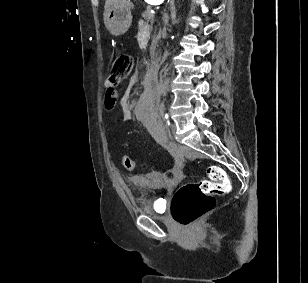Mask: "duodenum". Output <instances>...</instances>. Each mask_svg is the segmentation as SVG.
Masks as SVG:
<instances>
[{
	"mask_svg": "<svg viewBox=\"0 0 308 283\" xmlns=\"http://www.w3.org/2000/svg\"><path fill=\"white\" fill-rule=\"evenodd\" d=\"M148 39H149V31L148 29H145L141 36L142 44L147 45L149 43Z\"/></svg>",
	"mask_w": 308,
	"mask_h": 283,
	"instance_id": "1",
	"label": "duodenum"
}]
</instances>
